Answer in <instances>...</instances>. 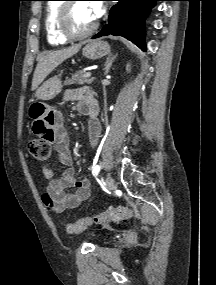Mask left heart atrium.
Here are the masks:
<instances>
[{"label": "left heart atrium", "instance_id": "left-heart-atrium-1", "mask_svg": "<svg viewBox=\"0 0 216 285\" xmlns=\"http://www.w3.org/2000/svg\"><path fill=\"white\" fill-rule=\"evenodd\" d=\"M89 5L96 19L101 17V15L104 13V6L101 1H93Z\"/></svg>", "mask_w": 216, "mask_h": 285}]
</instances>
